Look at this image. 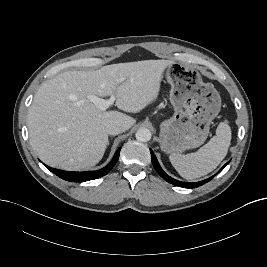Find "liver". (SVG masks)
Here are the masks:
<instances>
[{
	"label": "liver",
	"instance_id": "liver-1",
	"mask_svg": "<svg viewBox=\"0 0 267 267\" xmlns=\"http://www.w3.org/2000/svg\"><path fill=\"white\" fill-rule=\"evenodd\" d=\"M171 63H118L96 71H66L45 81L28 112L33 150L44 163L63 170L96 165L108 145L106 126L115 122L126 131L136 120L119 111H101L88 97L114 95L120 110L140 112L157 98L162 74Z\"/></svg>",
	"mask_w": 267,
	"mask_h": 267
}]
</instances>
